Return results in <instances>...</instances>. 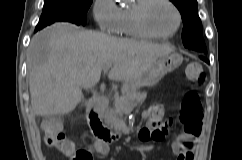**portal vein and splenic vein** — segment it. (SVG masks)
I'll return each instance as SVG.
<instances>
[{
  "mask_svg": "<svg viewBox=\"0 0 242 160\" xmlns=\"http://www.w3.org/2000/svg\"><path fill=\"white\" fill-rule=\"evenodd\" d=\"M111 65H106L103 67L104 72L106 73L110 69Z\"/></svg>",
  "mask_w": 242,
  "mask_h": 160,
  "instance_id": "obj_1",
  "label": "portal vein and splenic vein"
}]
</instances>
